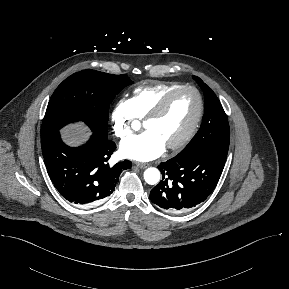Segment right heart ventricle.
Listing matches in <instances>:
<instances>
[{
    "label": "right heart ventricle",
    "mask_w": 289,
    "mask_h": 289,
    "mask_svg": "<svg viewBox=\"0 0 289 289\" xmlns=\"http://www.w3.org/2000/svg\"><path fill=\"white\" fill-rule=\"evenodd\" d=\"M182 86L175 82H158L134 89L130 101L136 119H144L170 91Z\"/></svg>",
    "instance_id": "e07e8e85"
}]
</instances>
